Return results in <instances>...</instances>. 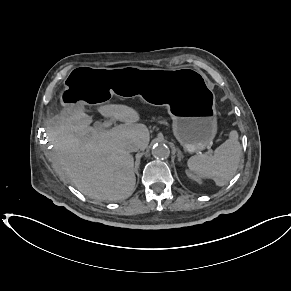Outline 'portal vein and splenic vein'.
I'll return each instance as SVG.
<instances>
[{
    "instance_id": "obj_1",
    "label": "portal vein and splenic vein",
    "mask_w": 291,
    "mask_h": 291,
    "mask_svg": "<svg viewBox=\"0 0 291 291\" xmlns=\"http://www.w3.org/2000/svg\"><path fill=\"white\" fill-rule=\"evenodd\" d=\"M108 123H103L101 125H97L96 126V129H99V130H104L106 127H108Z\"/></svg>"
}]
</instances>
